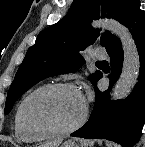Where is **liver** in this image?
Here are the masks:
<instances>
[{"label": "liver", "instance_id": "obj_1", "mask_svg": "<svg viewBox=\"0 0 145 147\" xmlns=\"http://www.w3.org/2000/svg\"><path fill=\"white\" fill-rule=\"evenodd\" d=\"M61 140H56L53 142H47L45 144L40 145L39 147H59Z\"/></svg>", "mask_w": 145, "mask_h": 147}]
</instances>
